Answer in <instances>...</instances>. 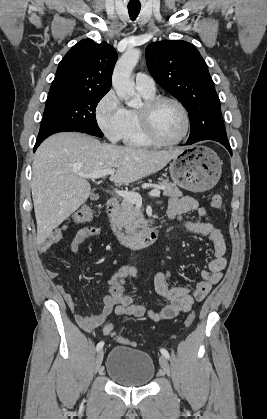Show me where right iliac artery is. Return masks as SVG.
<instances>
[{
	"label": "right iliac artery",
	"instance_id": "1",
	"mask_svg": "<svg viewBox=\"0 0 267 419\" xmlns=\"http://www.w3.org/2000/svg\"><path fill=\"white\" fill-rule=\"evenodd\" d=\"M103 346H104V342L103 341L99 342L96 346V350L97 351L101 350L103 348Z\"/></svg>",
	"mask_w": 267,
	"mask_h": 419
}]
</instances>
